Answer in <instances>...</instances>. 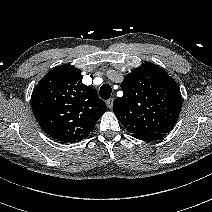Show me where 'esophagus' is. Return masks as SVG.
Segmentation results:
<instances>
[{
	"instance_id": "esophagus-1",
	"label": "esophagus",
	"mask_w": 212,
	"mask_h": 212,
	"mask_svg": "<svg viewBox=\"0 0 212 212\" xmlns=\"http://www.w3.org/2000/svg\"><path fill=\"white\" fill-rule=\"evenodd\" d=\"M106 105L109 109H111L113 107V98H110L109 100H107Z\"/></svg>"
}]
</instances>
